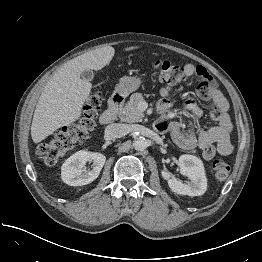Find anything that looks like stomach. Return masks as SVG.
<instances>
[{
  "instance_id": "obj_1",
  "label": "stomach",
  "mask_w": 262,
  "mask_h": 262,
  "mask_svg": "<svg viewBox=\"0 0 262 262\" xmlns=\"http://www.w3.org/2000/svg\"><path fill=\"white\" fill-rule=\"evenodd\" d=\"M141 83L142 81L139 77L124 76L119 80L116 91L119 95L127 97L130 93L136 91Z\"/></svg>"
}]
</instances>
